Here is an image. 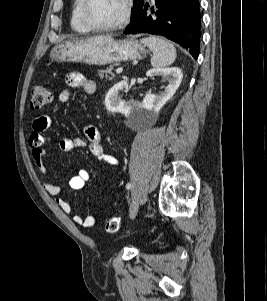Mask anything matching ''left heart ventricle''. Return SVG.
I'll return each instance as SVG.
<instances>
[{"label": "left heart ventricle", "instance_id": "b2bd125f", "mask_svg": "<svg viewBox=\"0 0 267 301\" xmlns=\"http://www.w3.org/2000/svg\"><path fill=\"white\" fill-rule=\"evenodd\" d=\"M124 9L123 0H91L89 15L99 25L117 22Z\"/></svg>", "mask_w": 267, "mask_h": 301}]
</instances>
